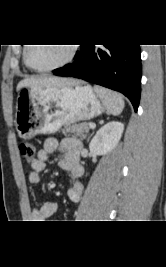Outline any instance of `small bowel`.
<instances>
[{"mask_svg":"<svg viewBox=\"0 0 166 267\" xmlns=\"http://www.w3.org/2000/svg\"><path fill=\"white\" fill-rule=\"evenodd\" d=\"M82 148L81 141L76 138H64L58 141L55 138H48L44 145L38 150L36 158L31 162V170L28 176L29 182L35 186L41 183V174L45 170L47 160L50 155L61 151L63 157L59 161V167L70 173L72 184L68 189V198L72 202H78L81 199L83 185L81 177L83 167L80 164V151ZM58 210V205L52 201L44 202L39 209L32 212V219L36 222H42L53 216Z\"/></svg>","mask_w":166,"mask_h":267,"instance_id":"1","label":"small bowel"}]
</instances>
